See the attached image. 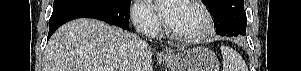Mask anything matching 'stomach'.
<instances>
[{
	"mask_svg": "<svg viewBox=\"0 0 301 71\" xmlns=\"http://www.w3.org/2000/svg\"><path fill=\"white\" fill-rule=\"evenodd\" d=\"M171 71H219L215 53L205 47L186 50L164 60Z\"/></svg>",
	"mask_w": 301,
	"mask_h": 71,
	"instance_id": "0dacf381",
	"label": "stomach"
}]
</instances>
